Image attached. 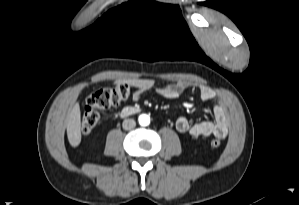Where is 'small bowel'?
Listing matches in <instances>:
<instances>
[{
	"label": "small bowel",
	"instance_id": "obj_1",
	"mask_svg": "<svg viewBox=\"0 0 299 205\" xmlns=\"http://www.w3.org/2000/svg\"><path fill=\"white\" fill-rule=\"evenodd\" d=\"M136 90L132 94L134 101H139L148 91H154L166 99L178 98L186 89L197 88L204 101L213 103L214 121H200L192 123L186 117H179L175 127L180 133H187L193 137L216 136L225 138L228 133L229 115L225 104L217 97L214 90L206 85H196L189 80H178L163 85L156 84L151 78H132L128 80Z\"/></svg>",
	"mask_w": 299,
	"mask_h": 205
}]
</instances>
